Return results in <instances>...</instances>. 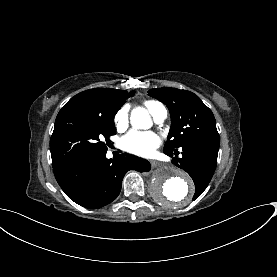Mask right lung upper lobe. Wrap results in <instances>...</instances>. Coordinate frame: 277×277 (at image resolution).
Listing matches in <instances>:
<instances>
[{"instance_id": "1", "label": "right lung upper lobe", "mask_w": 277, "mask_h": 277, "mask_svg": "<svg viewBox=\"0 0 277 277\" xmlns=\"http://www.w3.org/2000/svg\"><path fill=\"white\" fill-rule=\"evenodd\" d=\"M133 95L134 91L128 93L111 88H94L75 95L60 111L77 107L98 113L100 116H112L126 99Z\"/></svg>"}]
</instances>
